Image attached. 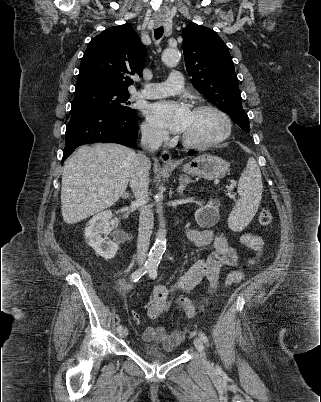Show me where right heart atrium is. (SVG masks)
<instances>
[{"mask_svg": "<svg viewBox=\"0 0 321 402\" xmlns=\"http://www.w3.org/2000/svg\"><path fill=\"white\" fill-rule=\"evenodd\" d=\"M144 138L151 143H160L167 140V133L145 122L142 125Z\"/></svg>", "mask_w": 321, "mask_h": 402, "instance_id": "right-heart-atrium-1", "label": "right heart atrium"}]
</instances>
